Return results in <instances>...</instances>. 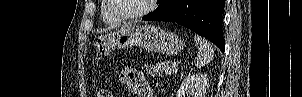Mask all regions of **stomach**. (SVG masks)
I'll return each instance as SVG.
<instances>
[{
	"instance_id": "0dacf381",
	"label": "stomach",
	"mask_w": 302,
	"mask_h": 97,
	"mask_svg": "<svg viewBox=\"0 0 302 97\" xmlns=\"http://www.w3.org/2000/svg\"><path fill=\"white\" fill-rule=\"evenodd\" d=\"M139 46L150 52L174 56L184 48V42L173 32L154 25H126L108 36H98L94 41L96 53L108 56L116 48Z\"/></svg>"
}]
</instances>
